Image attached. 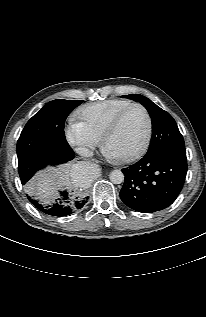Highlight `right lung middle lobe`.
<instances>
[{"label": "right lung middle lobe", "mask_w": 206, "mask_h": 317, "mask_svg": "<svg viewBox=\"0 0 206 317\" xmlns=\"http://www.w3.org/2000/svg\"><path fill=\"white\" fill-rule=\"evenodd\" d=\"M83 100L56 99L46 103L25 125L17 142L19 176L25 189L36 192V171L47 165H57L59 147L68 145L64 122Z\"/></svg>", "instance_id": "right-lung-middle-lobe-1"}]
</instances>
